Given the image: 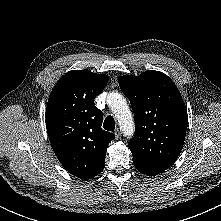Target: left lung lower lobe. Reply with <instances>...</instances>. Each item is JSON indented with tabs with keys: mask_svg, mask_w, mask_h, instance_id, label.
Wrapping results in <instances>:
<instances>
[{
	"mask_svg": "<svg viewBox=\"0 0 221 221\" xmlns=\"http://www.w3.org/2000/svg\"><path fill=\"white\" fill-rule=\"evenodd\" d=\"M134 165L141 173L146 174L148 176L158 175L166 170L163 168L147 167V166L139 165L136 163H134Z\"/></svg>",
	"mask_w": 221,
	"mask_h": 221,
	"instance_id": "left-lung-lower-lobe-1",
	"label": "left lung lower lobe"
}]
</instances>
